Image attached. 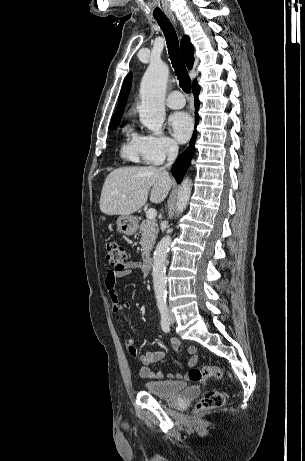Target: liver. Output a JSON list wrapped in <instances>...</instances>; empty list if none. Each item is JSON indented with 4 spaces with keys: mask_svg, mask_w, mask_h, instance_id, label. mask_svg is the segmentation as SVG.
Instances as JSON below:
<instances>
[{
    "mask_svg": "<svg viewBox=\"0 0 305 461\" xmlns=\"http://www.w3.org/2000/svg\"><path fill=\"white\" fill-rule=\"evenodd\" d=\"M173 182L170 176L152 166L118 168L107 176L100 197V210L107 215H131L148 200L160 203Z\"/></svg>",
    "mask_w": 305,
    "mask_h": 461,
    "instance_id": "6515ba94",
    "label": "liver"
}]
</instances>
